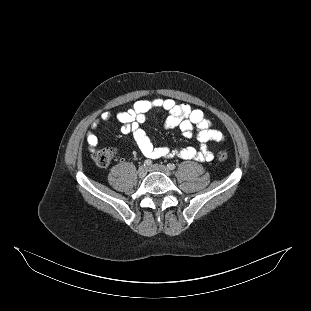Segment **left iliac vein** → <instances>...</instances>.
Segmentation results:
<instances>
[{
	"label": "left iliac vein",
	"mask_w": 311,
	"mask_h": 311,
	"mask_svg": "<svg viewBox=\"0 0 311 311\" xmlns=\"http://www.w3.org/2000/svg\"><path fill=\"white\" fill-rule=\"evenodd\" d=\"M148 170L149 171H153V172L154 171L162 172V173H164V174H166L168 176L171 174V172L169 171L168 167H166L164 165H160V164H154V165L150 166L148 168Z\"/></svg>",
	"instance_id": "left-iliac-vein-1"
}]
</instances>
